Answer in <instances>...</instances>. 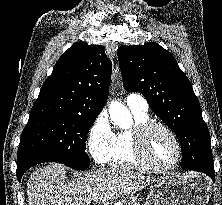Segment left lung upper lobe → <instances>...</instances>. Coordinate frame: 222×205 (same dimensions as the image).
I'll return each instance as SVG.
<instances>
[{
  "label": "left lung upper lobe",
  "instance_id": "left-lung-upper-lobe-1",
  "mask_svg": "<svg viewBox=\"0 0 222 205\" xmlns=\"http://www.w3.org/2000/svg\"><path fill=\"white\" fill-rule=\"evenodd\" d=\"M123 85L141 93L154 113L176 134L185 154L213 162L210 135L198 98L174 56L155 42L118 49Z\"/></svg>",
  "mask_w": 222,
  "mask_h": 205
}]
</instances>
